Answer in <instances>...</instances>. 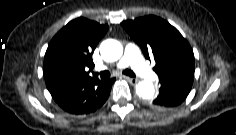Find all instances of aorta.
I'll return each instance as SVG.
<instances>
[{"label": "aorta", "mask_w": 236, "mask_h": 135, "mask_svg": "<svg viewBox=\"0 0 236 135\" xmlns=\"http://www.w3.org/2000/svg\"><path fill=\"white\" fill-rule=\"evenodd\" d=\"M100 53L105 61L114 62L121 58L123 47L119 41L107 39L101 43ZM136 93L143 99L153 98L155 93L153 83L148 80L139 82L136 86Z\"/></svg>", "instance_id": "762f6f07"}]
</instances>
